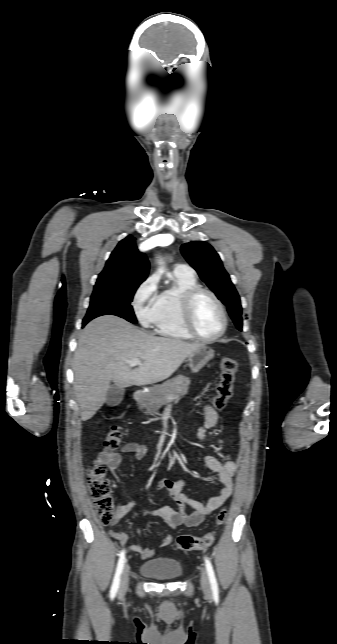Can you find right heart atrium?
<instances>
[{"instance_id": "obj_1", "label": "right heart atrium", "mask_w": 337, "mask_h": 644, "mask_svg": "<svg viewBox=\"0 0 337 644\" xmlns=\"http://www.w3.org/2000/svg\"><path fill=\"white\" fill-rule=\"evenodd\" d=\"M158 302L157 279L151 276L139 286L133 299L136 316L142 325L150 326L154 323L158 312Z\"/></svg>"}]
</instances>
